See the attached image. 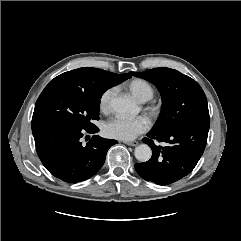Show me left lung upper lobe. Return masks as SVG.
I'll use <instances>...</instances> for the list:
<instances>
[{
	"label": "left lung upper lobe",
	"mask_w": 241,
	"mask_h": 241,
	"mask_svg": "<svg viewBox=\"0 0 241 241\" xmlns=\"http://www.w3.org/2000/svg\"><path fill=\"white\" fill-rule=\"evenodd\" d=\"M131 74L153 83L161 93L162 110L152 131L168 132L193 122L210 120L205 93L189 76L165 67Z\"/></svg>",
	"instance_id": "5c2ea615"
}]
</instances>
